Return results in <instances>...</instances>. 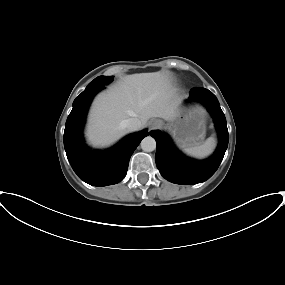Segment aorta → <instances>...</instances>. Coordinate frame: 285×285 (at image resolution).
I'll use <instances>...</instances> for the list:
<instances>
[{"instance_id":"762f6f07","label":"aorta","mask_w":285,"mask_h":285,"mask_svg":"<svg viewBox=\"0 0 285 285\" xmlns=\"http://www.w3.org/2000/svg\"><path fill=\"white\" fill-rule=\"evenodd\" d=\"M141 148L145 152H152L156 149V141L153 137L147 136L141 141Z\"/></svg>"}]
</instances>
